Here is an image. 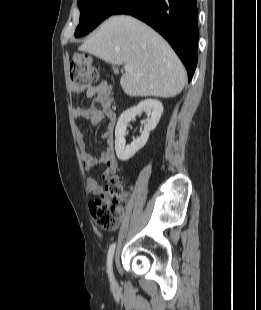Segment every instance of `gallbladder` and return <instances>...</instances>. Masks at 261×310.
Returning <instances> with one entry per match:
<instances>
[{
	"mask_svg": "<svg viewBox=\"0 0 261 310\" xmlns=\"http://www.w3.org/2000/svg\"><path fill=\"white\" fill-rule=\"evenodd\" d=\"M113 69L116 71L117 69H116V67H113ZM118 71V70H117Z\"/></svg>",
	"mask_w": 261,
	"mask_h": 310,
	"instance_id": "1",
	"label": "gallbladder"
}]
</instances>
